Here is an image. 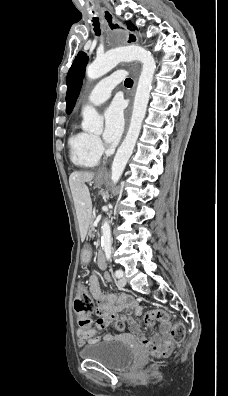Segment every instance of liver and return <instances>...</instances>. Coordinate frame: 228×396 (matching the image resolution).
<instances>
[{
    "instance_id": "liver-1",
    "label": "liver",
    "mask_w": 228,
    "mask_h": 396,
    "mask_svg": "<svg viewBox=\"0 0 228 396\" xmlns=\"http://www.w3.org/2000/svg\"><path fill=\"white\" fill-rule=\"evenodd\" d=\"M94 178L93 172H73L69 177V185L81 228V238L84 239V223L88 222L92 211V201L86 182Z\"/></svg>"
}]
</instances>
